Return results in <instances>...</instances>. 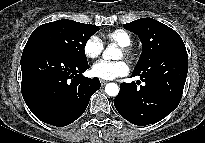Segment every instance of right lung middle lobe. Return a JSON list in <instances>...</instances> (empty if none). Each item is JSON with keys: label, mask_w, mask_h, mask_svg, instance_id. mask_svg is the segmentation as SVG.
Returning <instances> with one entry per match:
<instances>
[{"label": "right lung middle lobe", "mask_w": 205, "mask_h": 143, "mask_svg": "<svg viewBox=\"0 0 205 143\" xmlns=\"http://www.w3.org/2000/svg\"><path fill=\"white\" fill-rule=\"evenodd\" d=\"M100 30L99 27L61 19L46 23L36 28L29 40H37L49 44L71 59L87 62L85 45L88 39Z\"/></svg>", "instance_id": "right-lung-middle-lobe-1"}]
</instances>
